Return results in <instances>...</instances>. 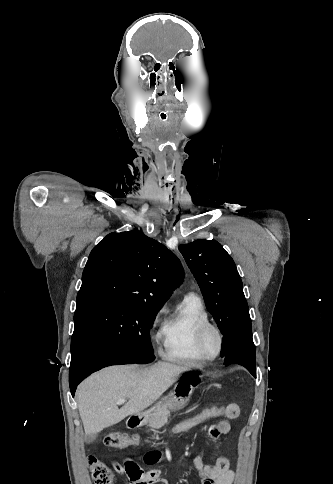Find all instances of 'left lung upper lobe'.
Returning a JSON list of instances; mask_svg holds the SVG:
<instances>
[{
	"mask_svg": "<svg viewBox=\"0 0 333 484\" xmlns=\"http://www.w3.org/2000/svg\"><path fill=\"white\" fill-rule=\"evenodd\" d=\"M197 280L207 310L223 334L221 356L239 325L250 318L243 285L232 257L215 240H197L179 246Z\"/></svg>",
	"mask_w": 333,
	"mask_h": 484,
	"instance_id": "1",
	"label": "left lung upper lobe"
}]
</instances>
